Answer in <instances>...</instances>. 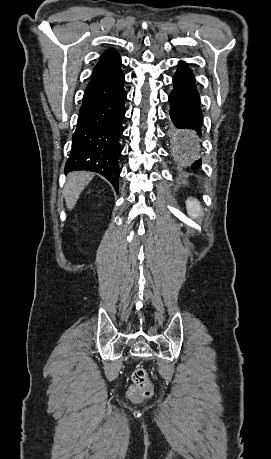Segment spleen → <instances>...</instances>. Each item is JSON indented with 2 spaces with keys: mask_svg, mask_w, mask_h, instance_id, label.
I'll list each match as a JSON object with an SVG mask.
<instances>
[{
  "mask_svg": "<svg viewBox=\"0 0 271 459\" xmlns=\"http://www.w3.org/2000/svg\"><path fill=\"white\" fill-rule=\"evenodd\" d=\"M186 206L190 218H192V220H196V218H198L201 214L200 206L197 208L196 202H193V200H187Z\"/></svg>",
  "mask_w": 271,
  "mask_h": 459,
  "instance_id": "spleen-1",
  "label": "spleen"
}]
</instances>
